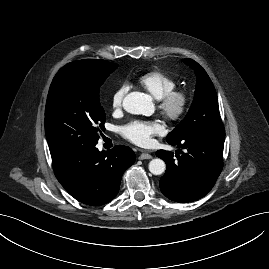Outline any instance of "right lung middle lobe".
<instances>
[{"mask_svg":"<svg viewBox=\"0 0 269 269\" xmlns=\"http://www.w3.org/2000/svg\"><path fill=\"white\" fill-rule=\"evenodd\" d=\"M118 67L106 60L71 62L54 77L45 109V133L52 159L98 143L105 112L100 86Z\"/></svg>","mask_w":269,"mask_h":269,"instance_id":"right-lung-middle-lobe-1","label":"right lung middle lobe"}]
</instances>
